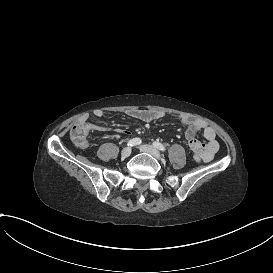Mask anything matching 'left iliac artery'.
<instances>
[{
	"label": "left iliac artery",
	"mask_w": 273,
	"mask_h": 273,
	"mask_svg": "<svg viewBox=\"0 0 273 273\" xmlns=\"http://www.w3.org/2000/svg\"><path fill=\"white\" fill-rule=\"evenodd\" d=\"M153 146L156 147L157 149L163 151V152L166 151V148L161 143H159V142H154Z\"/></svg>",
	"instance_id": "44dca946"
}]
</instances>
